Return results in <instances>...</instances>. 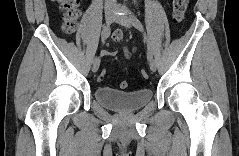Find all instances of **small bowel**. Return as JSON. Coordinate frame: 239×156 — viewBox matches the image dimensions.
Returning <instances> with one entry per match:
<instances>
[{"label":"small bowel","instance_id":"small-bowel-1","mask_svg":"<svg viewBox=\"0 0 239 156\" xmlns=\"http://www.w3.org/2000/svg\"><path fill=\"white\" fill-rule=\"evenodd\" d=\"M122 39V32L120 30H116L113 34V40L115 42V44L120 43ZM135 49H128L125 48L124 49V55L126 58H129L133 53H134ZM102 55L104 56H116L117 55V50L115 48L110 49V50H104L102 51Z\"/></svg>","mask_w":239,"mask_h":156}]
</instances>
